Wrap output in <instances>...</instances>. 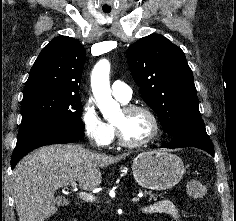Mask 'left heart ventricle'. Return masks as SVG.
<instances>
[{"mask_svg": "<svg viewBox=\"0 0 236 221\" xmlns=\"http://www.w3.org/2000/svg\"><path fill=\"white\" fill-rule=\"evenodd\" d=\"M121 127L125 139L140 142L147 139L153 132V124L149 116L143 112L125 114L123 111L115 119Z\"/></svg>", "mask_w": 236, "mask_h": 221, "instance_id": "obj_1", "label": "left heart ventricle"}]
</instances>
